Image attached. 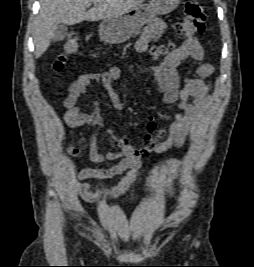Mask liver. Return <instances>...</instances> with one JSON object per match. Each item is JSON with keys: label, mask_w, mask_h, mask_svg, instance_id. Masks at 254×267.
I'll list each match as a JSON object with an SVG mask.
<instances>
[{"label": "liver", "mask_w": 254, "mask_h": 267, "mask_svg": "<svg viewBox=\"0 0 254 267\" xmlns=\"http://www.w3.org/2000/svg\"><path fill=\"white\" fill-rule=\"evenodd\" d=\"M145 0H41L34 29L35 57L39 58L50 46L59 24L75 25L82 21H100L122 15ZM89 11L86 8L91 4Z\"/></svg>", "instance_id": "1"}]
</instances>
